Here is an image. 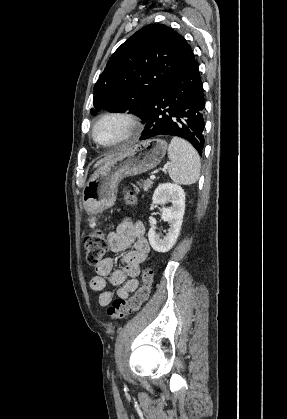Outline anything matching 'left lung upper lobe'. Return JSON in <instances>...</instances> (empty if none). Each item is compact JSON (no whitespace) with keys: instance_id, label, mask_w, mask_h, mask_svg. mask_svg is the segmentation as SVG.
<instances>
[{"instance_id":"obj_1","label":"left lung upper lobe","mask_w":287,"mask_h":419,"mask_svg":"<svg viewBox=\"0 0 287 419\" xmlns=\"http://www.w3.org/2000/svg\"><path fill=\"white\" fill-rule=\"evenodd\" d=\"M193 62V52L181 35L165 25H147L109 58L94 86L90 113L129 111L144 120L154 95Z\"/></svg>"}]
</instances>
